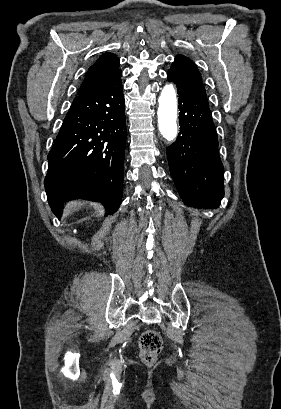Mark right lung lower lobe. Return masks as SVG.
Here are the masks:
<instances>
[{
    "label": "right lung lower lobe",
    "instance_id": "obj_1",
    "mask_svg": "<svg viewBox=\"0 0 281 409\" xmlns=\"http://www.w3.org/2000/svg\"><path fill=\"white\" fill-rule=\"evenodd\" d=\"M121 71L107 85L74 98L48 154L45 190L61 217L73 198L101 202L106 215L121 204L126 119Z\"/></svg>",
    "mask_w": 281,
    "mask_h": 409
}]
</instances>
